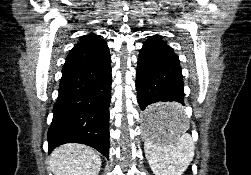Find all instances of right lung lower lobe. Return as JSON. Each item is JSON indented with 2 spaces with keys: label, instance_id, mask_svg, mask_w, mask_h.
<instances>
[{
  "label": "right lung lower lobe",
  "instance_id": "right-lung-lower-lobe-1",
  "mask_svg": "<svg viewBox=\"0 0 251 175\" xmlns=\"http://www.w3.org/2000/svg\"><path fill=\"white\" fill-rule=\"evenodd\" d=\"M59 95L48 130L49 153L77 142L109 158L110 54L102 61L62 69Z\"/></svg>",
  "mask_w": 251,
  "mask_h": 175
}]
</instances>
